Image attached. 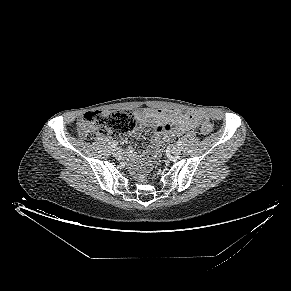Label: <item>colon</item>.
<instances>
[{
	"label": "colon",
	"instance_id": "1",
	"mask_svg": "<svg viewBox=\"0 0 291 291\" xmlns=\"http://www.w3.org/2000/svg\"><path fill=\"white\" fill-rule=\"evenodd\" d=\"M142 115L135 110H117L110 113L88 111L78 121L80 133L86 138L110 135L119 140L123 134L134 131L141 123ZM213 129L210 121L200 124L202 134H209Z\"/></svg>",
	"mask_w": 291,
	"mask_h": 291
}]
</instances>
